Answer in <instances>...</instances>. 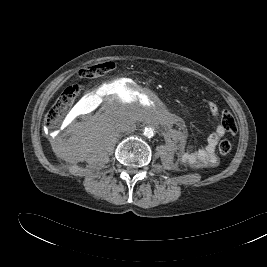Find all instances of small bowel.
<instances>
[{
	"label": "small bowel",
	"mask_w": 267,
	"mask_h": 267,
	"mask_svg": "<svg viewBox=\"0 0 267 267\" xmlns=\"http://www.w3.org/2000/svg\"><path fill=\"white\" fill-rule=\"evenodd\" d=\"M208 110L215 121L217 126L215 130L208 136L207 144L203 148H182L179 151L181 161L189 166L195 168L212 167L218 163L216 155V146L220 139L228 132L220 120L222 113L214 102L207 104ZM176 134V131H172Z\"/></svg>",
	"instance_id": "small-bowel-1"
}]
</instances>
